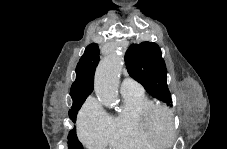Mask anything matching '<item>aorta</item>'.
I'll use <instances>...</instances> for the list:
<instances>
[{
	"label": "aorta",
	"instance_id": "1",
	"mask_svg": "<svg viewBox=\"0 0 227 149\" xmlns=\"http://www.w3.org/2000/svg\"><path fill=\"white\" fill-rule=\"evenodd\" d=\"M121 53L114 52L102 60L95 75V94L106 107H113L118 103L119 76L123 68Z\"/></svg>",
	"mask_w": 227,
	"mask_h": 149
}]
</instances>
